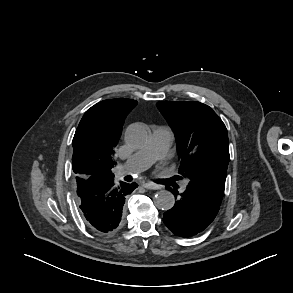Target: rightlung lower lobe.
<instances>
[{
	"instance_id": "1",
	"label": "right lung lower lobe",
	"mask_w": 293,
	"mask_h": 293,
	"mask_svg": "<svg viewBox=\"0 0 293 293\" xmlns=\"http://www.w3.org/2000/svg\"><path fill=\"white\" fill-rule=\"evenodd\" d=\"M114 178H76L77 200L85 223L98 233H112L122 226L125 197L138 185L122 182L115 186Z\"/></svg>"
}]
</instances>
